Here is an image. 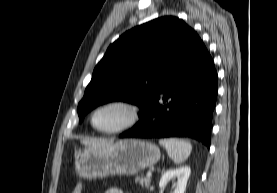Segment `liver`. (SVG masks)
<instances>
[{"instance_id": "liver-1", "label": "liver", "mask_w": 277, "mask_h": 193, "mask_svg": "<svg viewBox=\"0 0 277 193\" xmlns=\"http://www.w3.org/2000/svg\"><path fill=\"white\" fill-rule=\"evenodd\" d=\"M81 143L85 146L91 147V148H101L108 145L110 142H107L106 140H82Z\"/></svg>"}]
</instances>
